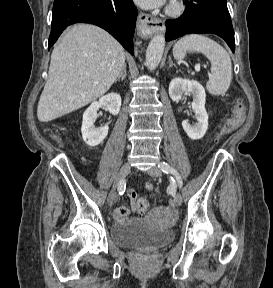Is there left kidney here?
<instances>
[{
    "mask_svg": "<svg viewBox=\"0 0 273 288\" xmlns=\"http://www.w3.org/2000/svg\"><path fill=\"white\" fill-rule=\"evenodd\" d=\"M193 95L192 109L195 112L197 123L191 125L187 120L182 122V127L192 140L201 139L208 129V114L205 109L206 94L203 86L196 80L174 78L169 85V96L177 102L182 94Z\"/></svg>",
    "mask_w": 273,
    "mask_h": 288,
    "instance_id": "obj_1",
    "label": "left kidney"
}]
</instances>
